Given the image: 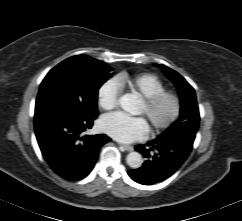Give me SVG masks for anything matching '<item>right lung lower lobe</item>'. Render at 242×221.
<instances>
[{
  "label": "right lung lower lobe",
  "mask_w": 242,
  "mask_h": 221,
  "mask_svg": "<svg viewBox=\"0 0 242 221\" xmlns=\"http://www.w3.org/2000/svg\"><path fill=\"white\" fill-rule=\"evenodd\" d=\"M94 118L81 119L50 113L35 117V134L50 167L62 178L77 181L93 169L100 148L111 139L105 134L84 135Z\"/></svg>",
  "instance_id": "right-lung-lower-lobe-1"
}]
</instances>
